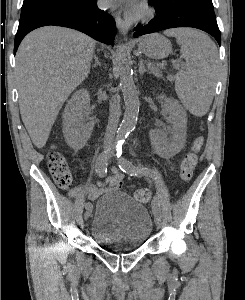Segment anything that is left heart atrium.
Returning <instances> with one entry per match:
<instances>
[{
    "instance_id": "left-heart-atrium-1",
    "label": "left heart atrium",
    "mask_w": 245,
    "mask_h": 300,
    "mask_svg": "<svg viewBox=\"0 0 245 300\" xmlns=\"http://www.w3.org/2000/svg\"><path fill=\"white\" fill-rule=\"evenodd\" d=\"M102 3L105 7L123 5L131 14H136L140 7L138 0H102Z\"/></svg>"
}]
</instances>
